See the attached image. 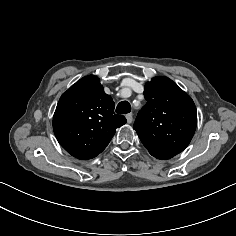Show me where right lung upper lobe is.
<instances>
[{
    "label": "right lung upper lobe",
    "instance_id": "obj_1",
    "mask_svg": "<svg viewBox=\"0 0 236 236\" xmlns=\"http://www.w3.org/2000/svg\"><path fill=\"white\" fill-rule=\"evenodd\" d=\"M114 102L104 92L97 76H86L59 99L53 130L59 144L73 157L87 160L100 154L126 123L114 113Z\"/></svg>",
    "mask_w": 236,
    "mask_h": 236
}]
</instances>
